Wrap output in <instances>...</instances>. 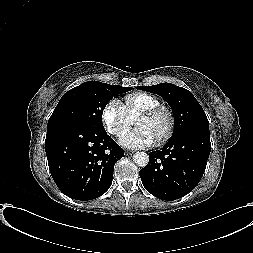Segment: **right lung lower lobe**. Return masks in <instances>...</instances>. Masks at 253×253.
Returning <instances> with one entry per match:
<instances>
[{"instance_id": "98d812e1", "label": "right lung lower lobe", "mask_w": 253, "mask_h": 253, "mask_svg": "<svg viewBox=\"0 0 253 253\" xmlns=\"http://www.w3.org/2000/svg\"><path fill=\"white\" fill-rule=\"evenodd\" d=\"M45 150L51 175L62 193L92 200L111 186L123 149L104 130L61 124L47 128Z\"/></svg>"}]
</instances>
